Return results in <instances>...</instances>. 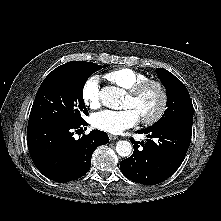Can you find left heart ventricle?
<instances>
[{
	"label": "left heart ventricle",
	"mask_w": 221,
	"mask_h": 221,
	"mask_svg": "<svg viewBox=\"0 0 221 221\" xmlns=\"http://www.w3.org/2000/svg\"><path fill=\"white\" fill-rule=\"evenodd\" d=\"M160 103V94L155 87L147 88L137 98L126 96L124 108L134 109L140 118L151 116L157 110Z\"/></svg>",
	"instance_id": "obj_1"
}]
</instances>
